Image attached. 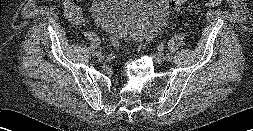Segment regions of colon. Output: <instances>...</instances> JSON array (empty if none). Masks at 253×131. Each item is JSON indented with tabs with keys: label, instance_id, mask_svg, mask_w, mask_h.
Listing matches in <instances>:
<instances>
[{
	"label": "colon",
	"instance_id": "5ec220e1",
	"mask_svg": "<svg viewBox=\"0 0 253 131\" xmlns=\"http://www.w3.org/2000/svg\"><path fill=\"white\" fill-rule=\"evenodd\" d=\"M188 2V0H172L171 1V5L174 9H181L182 6H184L186 3ZM222 3V0H207V4L209 6H218ZM110 41L113 45V48L118 51L119 49V44H118V40L115 36H110Z\"/></svg>",
	"mask_w": 253,
	"mask_h": 131
}]
</instances>
